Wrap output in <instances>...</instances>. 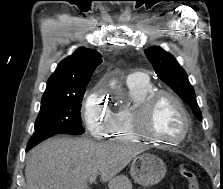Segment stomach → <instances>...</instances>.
Segmentation results:
<instances>
[{
  "instance_id": "1",
  "label": "stomach",
  "mask_w": 223,
  "mask_h": 189,
  "mask_svg": "<svg viewBox=\"0 0 223 189\" xmlns=\"http://www.w3.org/2000/svg\"><path fill=\"white\" fill-rule=\"evenodd\" d=\"M130 174L136 183L151 186L165 176L166 166L157 156L143 153L132 159Z\"/></svg>"
}]
</instances>
